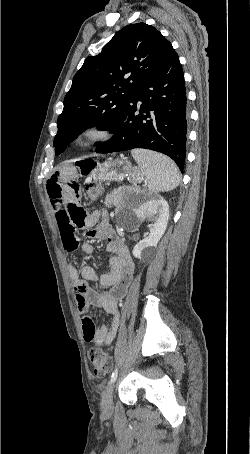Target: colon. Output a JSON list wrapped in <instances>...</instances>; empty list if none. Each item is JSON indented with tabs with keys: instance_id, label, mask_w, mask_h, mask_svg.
Listing matches in <instances>:
<instances>
[{
	"instance_id": "obj_1",
	"label": "colon",
	"mask_w": 250,
	"mask_h": 454,
	"mask_svg": "<svg viewBox=\"0 0 250 454\" xmlns=\"http://www.w3.org/2000/svg\"><path fill=\"white\" fill-rule=\"evenodd\" d=\"M102 192V187L97 183H90L86 186V195L91 201L97 200ZM89 359L97 376H104L110 371L111 357L104 350L97 347L91 348L89 350Z\"/></svg>"
}]
</instances>
